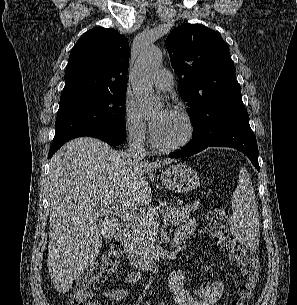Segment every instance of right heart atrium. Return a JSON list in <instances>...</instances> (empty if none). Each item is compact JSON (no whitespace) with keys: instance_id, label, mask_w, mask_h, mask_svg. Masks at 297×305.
<instances>
[{"instance_id":"right-heart-atrium-1","label":"right heart atrium","mask_w":297,"mask_h":305,"mask_svg":"<svg viewBox=\"0 0 297 305\" xmlns=\"http://www.w3.org/2000/svg\"><path fill=\"white\" fill-rule=\"evenodd\" d=\"M123 131L132 146H145L148 138L147 126L136 106L128 98L123 106Z\"/></svg>"}]
</instances>
